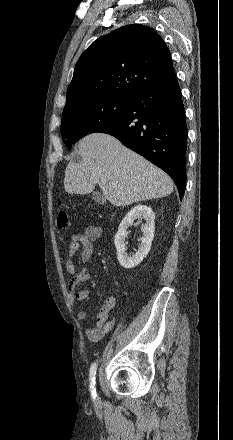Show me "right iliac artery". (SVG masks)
Returning <instances> with one entry per match:
<instances>
[{"label": "right iliac artery", "mask_w": 233, "mask_h": 440, "mask_svg": "<svg viewBox=\"0 0 233 440\" xmlns=\"http://www.w3.org/2000/svg\"><path fill=\"white\" fill-rule=\"evenodd\" d=\"M96 370H97V363H93L91 365L90 368V392H91V396L92 398H96L97 394H96V389H95V375H96Z\"/></svg>", "instance_id": "right-iliac-artery-1"}]
</instances>
